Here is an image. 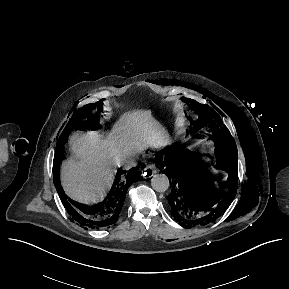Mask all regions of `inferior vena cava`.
<instances>
[{"label": "inferior vena cava", "instance_id": "obj_1", "mask_svg": "<svg viewBox=\"0 0 289 289\" xmlns=\"http://www.w3.org/2000/svg\"><path fill=\"white\" fill-rule=\"evenodd\" d=\"M136 164H137V163H136L134 160H131V161L128 162L127 167H128V168L134 167V166H136Z\"/></svg>", "mask_w": 289, "mask_h": 289}]
</instances>
